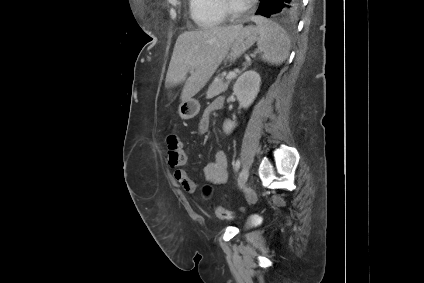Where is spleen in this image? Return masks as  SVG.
<instances>
[{"label":"spleen","mask_w":424,"mask_h":283,"mask_svg":"<svg viewBox=\"0 0 424 283\" xmlns=\"http://www.w3.org/2000/svg\"><path fill=\"white\" fill-rule=\"evenodd\" d=\"M254 21L259 32L258 51L262 53V59L270 64H281L290 50L288 35L278 24L263 17L257 16Z\"/></svg>","instance_id":"obj_1"}]
</instances>
